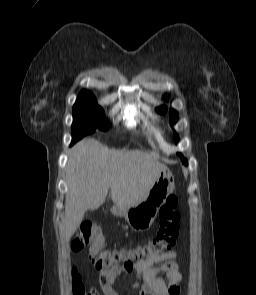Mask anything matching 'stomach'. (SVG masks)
I'll return each instance as SVG.
<instances>
[{
    "label": "stomach",
    "mask_w": 256,
    "mask_h": 295,
    "mask_svg": "<svg viewBox=\"0 0 256 295\" xmlns=\"http://www.w3.org/2000/svg\"><path fill=\"white\" fill-rule=\"evenodd\" d=\"M174 187V177L165 167L141 201L125 207L115 205L111 212L116 217H124L134 231L148 230Z\"/></svg>",
    "instance_id": "stomach-1"
}]
</instances>
